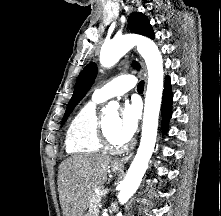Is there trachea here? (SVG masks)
<instances>
[{"mask_svg":"<svg viewBox=\"0 0 221 216\" xmlns=\"http://www.w3.org/2000/svg\"><path fill=\"white\" fill-rule=\"evenodd\" d=\"M137 90L138 91H143L144 90V81H140L138 83Z\"/></svg>","mask_w":221,"mask_h":216,"instance_id":"1","label":"trachea"}]
</instances>
